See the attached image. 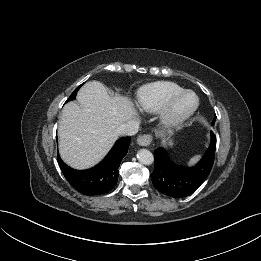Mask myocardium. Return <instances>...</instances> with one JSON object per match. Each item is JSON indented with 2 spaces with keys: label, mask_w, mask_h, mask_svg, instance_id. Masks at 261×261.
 <instances>
[{
  "label": "myocardium",
  "mask_w": 261,
  "mask_h": 261,
  "mask_svg": "<svg viewBox=\"0 0 261 261\" xmlns=\"http://www.w3.org/2000/svg\"><path fill=\"white\" fill-rule=\"evenodd\" d=\"M192 95L195 98V103L191 108L184 112H177L176 105L181 98L186 95ZM200 100L198 95L192 90H182L181 92L175 94L162 108L160 112L161 124L168 129H173L181 126L186 122L198 109Z\"/></svg>",
  "instance_id": "f54148a6"
}]
</instances>
